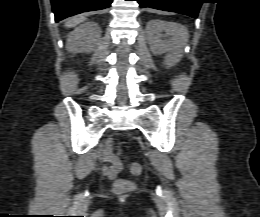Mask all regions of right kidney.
Masks as SVG:
<instances>
[{
	"label": "right kidney",
	"instance_id": "right-kidney-1",
	"mask_svg": "<svg viewBox=\"0 0 260 217\" xmlns=\"http://www.w3.org/2000/svg\"><path fill=\"white\" fill-rule=\"evenodd\" d=\"M101 37V30L96 23H85L68 35L66 48L69 52L90 53L94 50Z\"/></svg>",
	"mask_w": 260,
	"mask_h": 217
}]
</instances>
